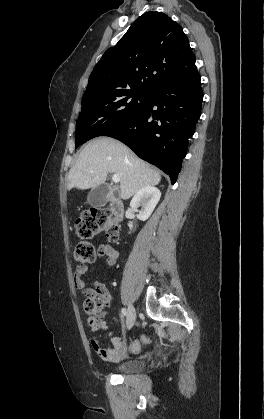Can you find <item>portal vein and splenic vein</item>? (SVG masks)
<instances>
[{"mask_svg":"<svg viewBox=\"0 0 264 419\" xmlns=\"http://www.w3.org/2000/svg\"><path fill=\"white\" fill-rule=\"evenodd\" d=\"M112 181H113L114 183H118V182L120 181V176H119V175H117V174H114V175L112 176Z\"/></svg>","mask_w":264,"mask_h":419,"instance_id":"1","label":"portal vein and splenic vein"}]
</instances>
